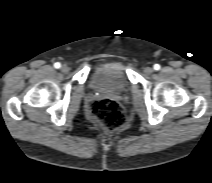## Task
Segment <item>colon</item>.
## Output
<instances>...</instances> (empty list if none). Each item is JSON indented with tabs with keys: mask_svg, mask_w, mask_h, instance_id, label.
<instances>
[{
	"mask_svg": "<svg viewBox=\"0 0 212 183\" xmlns=\"http://www.w3.org/2000/svg\"><path fill=\"white\" fill-rule=\"evenodd\" d=\"M92 120L107 131H114L126 122V114L122 106L112 99L95 100L90 107Z\"/></svg>",
	"mask_w": 212,
	"mask_h": 183,
	"instance_id": "1",
	"label": "colon"
}]
</instances>
